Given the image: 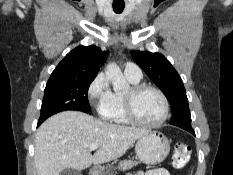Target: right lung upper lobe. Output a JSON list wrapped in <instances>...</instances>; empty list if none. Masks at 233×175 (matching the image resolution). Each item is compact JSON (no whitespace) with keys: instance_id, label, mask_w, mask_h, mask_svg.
Returning a JSON list of instances; mask_svg holds the SVG:
<instances>
[{"instance_id":"1","label":"right lung upper lobe","mask_w":233,"mask_h":175,"mask_svg":"<svg viewBox=\"0 0 233 175\" xmlns=\"http://www.w3.org/2000/svg\"><path fill=\"white\" fill-rule=\"evenodd\" d=\"M107 52L91 46H78L70 51L52 72L49 80L95 78Z\"/></svg>"}]
</instances>
